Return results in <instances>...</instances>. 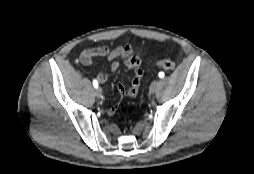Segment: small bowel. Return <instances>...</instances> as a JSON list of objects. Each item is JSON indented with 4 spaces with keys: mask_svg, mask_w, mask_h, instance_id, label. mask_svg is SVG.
Masks as SVG:
<instances>
[{
    "mask_svg": "<svg viewBox=\"0 0 254 174\" xmlns=\"http://www.w3.org/2000/svg\"><path fill=\"white\" fill-rule=\"evenodd\" d=\"M108 57L111 62L110 71H116L119 66L124 63L134 70L133 76L131 78L130 85L125 88L122 84L119 85L121 94L127 96H136L140 83L143 77V70L141 68L142 59L141 54L134 50V48L129 44H120L115 48L107 45L91 48L84 50L79 57L82 64H90L94 57ZM109 73L100 72L97 75V79L100 83H105L108 80ZM116 112V107L112 106L107 109L109 115H113Z\"/></svg>",
    "mask_w": 254,
    "mask_h": 174,
    "instance_id": "1",
    "label": "small bowel"
}]
</instances>
